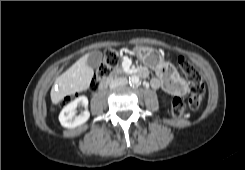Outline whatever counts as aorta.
<instances>
[{
	"instance_id": "762f6f07",
	"label": "aorta",
	"mask_w": 245,
	"mask_h": 170,
	"mask_svg": "<svg viewBox=\"0 0 245 170\" xmlns=\"http://www.w3.org/2000/svg\"><path fill=\"white\" fill-rule=\"evenodd\" d=\"M140 83V78L137 75H133L130 78V84L131 85H139Z\"/></svg>"
}]
</instances>
